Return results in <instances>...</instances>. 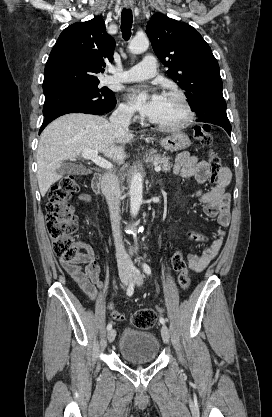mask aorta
Here are the masks:
<instances>
[{"label": "aorta", "mask_w": 272, "mask_h": 417, "mask_svg": "<svg viewBox=\"0 0 272 417\" xmlns=\"http://www.w3.org/2000/svg\"><path fill=\"white\" fill-rule=\"evenodd\" d=\"M148 47L149 40L146 36H136L129 44V50L133 54H140L146 51ZM129 195L130 212L135 217L140 210L143 198V177L139 172H136L131 178Z\"/></svg>", "instance_id": "762f6f07"}]
</instances>
